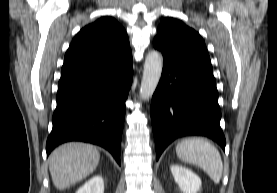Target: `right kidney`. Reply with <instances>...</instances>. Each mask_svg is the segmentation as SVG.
<instances>
[{"mask_svg":"<svg viewBox=\"0 0 277 193\" xmlns=\"http://www.w3.org/2000/svg\"><path fill=\"white\" fill-rule=\"evenodd\" d=\"M76 193H104V181L102 176H94L81 186Z\"/></svg>","mask_w":277,"mask_h":193,"instance_id":"ca27d5eb","label":"right kidney"}]
</instances>
